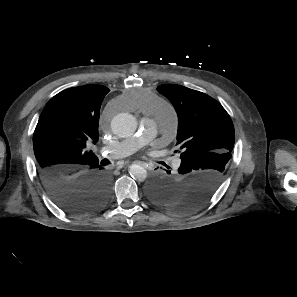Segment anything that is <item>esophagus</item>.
I'll return each mask as SVG.
<instances>
[{
    "label": "esophagus",
    "instance_id": "1",
    "mask_svg": "<svg viewBox=\"0 0 297 297\" xmlns=\"http://www.w3.org/2000/svg\"><path fill=\"white\" fill-rule=\"evenodd\" d=\"M136 163H137V164H140V165H143V166L146 165V163H145V162H142V161H136Z\"/></svg>",
    "mask_w": 297,
    "mask_h": 297
}]
</instances>
